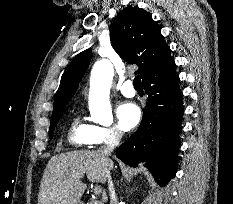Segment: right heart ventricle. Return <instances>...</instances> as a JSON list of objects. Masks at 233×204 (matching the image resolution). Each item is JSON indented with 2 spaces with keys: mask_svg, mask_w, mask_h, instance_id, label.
I'll list each match as a JSON object with an SVG mask.
<instances>
[{
  "mask_svg": "<svg viewBox=\"0 0 233 204\" xmlns=\"http://www.w3.org/2000/svg\"><path fill=\"white\" fill-rule=\"evenodd\" d=\"M91 131L92 125L76 115L69 127L68 140L77 147L89 145Z\"/></svg>",
  "mask_w": 233,
  "mask_h": 204,
  "instance_id": "1",
  "label": "right heart ventricle"
}]
</instances>
